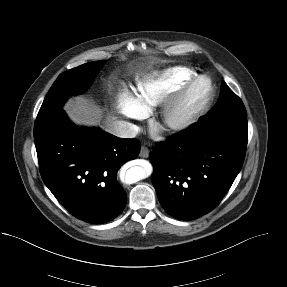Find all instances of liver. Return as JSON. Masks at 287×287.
<instances>
[{
    "instance_id": "obj_1",
    "label": "liver",
    "mask_w": 287,
    "mask_h": 287,
    "mask_svg": "<svg viewBox=\"0 0 287 287\" xmlns=\"http://www.w3.org/2000/svg\"><path fill=\"white\" fill-rule=\"evenodd\" d=\"M64 110L70 119L79 125H96L101 121L100 110L92 102L83 97H77L69 100ZM116 120L115 117L109 116L105 122V129L109 131L111 125Z\"/></svg>"
}]
</instances>
